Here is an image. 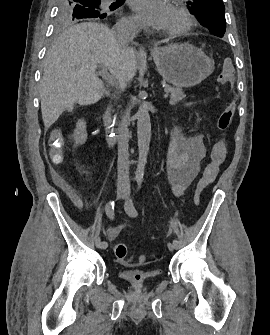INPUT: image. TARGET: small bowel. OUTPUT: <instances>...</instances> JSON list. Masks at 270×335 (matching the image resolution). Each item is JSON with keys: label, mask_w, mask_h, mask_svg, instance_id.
<instances>
[{"label": "small bowel", "mask_w": 270, "mask_h": 335, "mask_svg": "<svg viewBox=\"0 0 270 335\" xmlns=\"http://www.w3.org/2000/svg\"><path fill=\"white\" fill-rule=\"evenodd\" d=\"M50 143L53 149H46V156H65V149H58L65 140L61 132L56 130ZM206 149L200 135L191 138L181 136L178 128L172 130V139L167 156V177L172 184L173 194L181 196L200 169V163L205 157ZM112 230H109V234Z\"/></svg>", "instance_id": "obj_1"}]
</instances>
